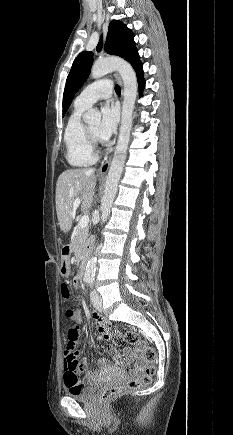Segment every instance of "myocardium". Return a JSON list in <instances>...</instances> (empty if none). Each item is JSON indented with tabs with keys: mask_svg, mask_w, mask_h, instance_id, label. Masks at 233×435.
<instances>
[{
	"mask_svg": "<svg viewBox=\"0 0 233 435\" xmlns=\"http://www.w3.org/2000/svg\"><path fill=\"white\" fill-rule=\"evenodd\" d=\"M85 132L89 142L93 146L96 143L97 136L90 130L88 125H85Z\"/></svg>",
	"mask_w": 233,
	"mask_h": 435,
	"instance_id": "1",
	"label": "myocardium"
}]
</instances>
